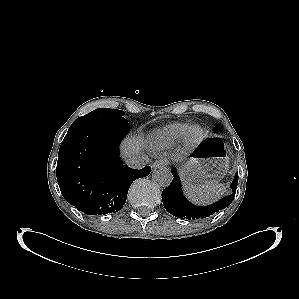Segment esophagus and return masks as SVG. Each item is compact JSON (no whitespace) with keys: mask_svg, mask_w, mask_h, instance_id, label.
I'll return each instance as SVG.
<instances>
[{"mask_svg":"<svg viewBox=\"0 0 299 299\" xmlns=\"http://www.w3.org/2000/svg\"><path fill=\"white\" fill-rule=\"evenodd\" d=\"M167 165H168V161L166 159H160V160H156L152 164V167L156 169V168L166 167Z\"/></svg>","mask_w":299,"mask_h":299,"instance_id":"34e87169","label":"esophagus"}]
</instances>
